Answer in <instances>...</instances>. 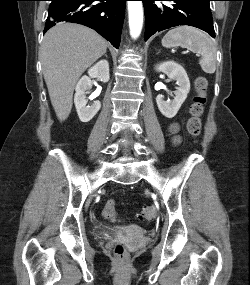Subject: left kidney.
I'll use <instances>...</instances> for the list:
<instances>
[{
  "label": "left kidney",
  "instance_id": "obj_1",
  "mask_svg": "<svg viewBox=\"0 0 250 285\" xmlns=\"http://www.w3.org/2000/svg\"><path fill=\"white\" fill-rule=\"evenodd\" d=\"M155 70L166 74L177 81L175 97L172 101H165L162 95L156 97L159 111L167 118H173L186 100L190 91V81L185 69L174 61H166L156 65Z\"/></svg>",
  "mask_w": 250,
  "mask_h": 285
}]
</instances>
